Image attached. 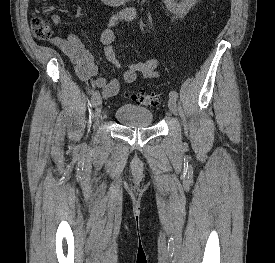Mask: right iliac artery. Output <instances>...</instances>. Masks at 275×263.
Instances as JSON below:
<instances>
[{
	"label": "right iliac artery",
	"mask_w": 275,
	"mask_h": 263,
	"mask_svg": "<svg viewBox=\"0 0 275 263\" xmlns=\"http://www.w3.org/2000/svg\"><path fill=\"white\" fill-rule=\"evenodd\" d=\"M99 97H100V94H99L98 91L93 93V95L91 97V103H92L93 106L95 105V103H96V101Z\"/></svg>",
	"instance_id": "1"
}]
</instances>
